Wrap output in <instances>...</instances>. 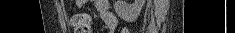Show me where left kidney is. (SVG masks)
Masks as SVG:
<instances>
[{
  "mask_svg": "<svg viewBox=\"0 0 235 33\" xmlns=\"http://www.w3.org/2000/svg\"><path fill=\"white\" fill-rule=\"evenodd\" d=\"M146 0H134L132 4L126 3L125 0H116L114 9L116 14L127 22H132L137 19L145 4Z\"/></svg>",
  "mask_w": 235,
  "mask_h": 33,
  "instance_id": "obj_1",
  "label": "left kidney"
}]
</instances>
